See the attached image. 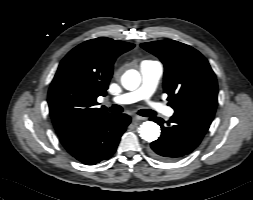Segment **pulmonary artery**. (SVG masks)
Masks as SVG:
<instances>
[{"mask_svg": "<svg viewBox=\"0 0 253 200\" xmlns=\"http://www.w3.org/2000/svg\"><path fill=\"white\" fill-rule=\"evenodd\" d=\"M140 71L142 75L141 86L134 91L114 97L112 102L116 104H131L140 100H146L158 112L168 117L172 116L174 114L172 108L149 100L163 74L162 64L158 61L145 60L140 64Z\"/></svg>", "mask_w": 253, "mask_h": 200, "instance_id": "pulmonary-artery-1", "label": "pulmonary artery"}]
</instances>
